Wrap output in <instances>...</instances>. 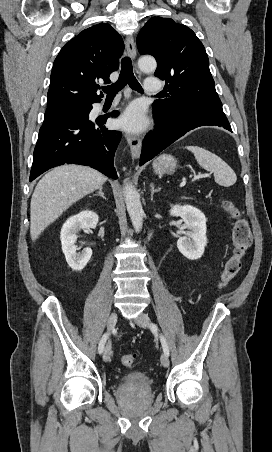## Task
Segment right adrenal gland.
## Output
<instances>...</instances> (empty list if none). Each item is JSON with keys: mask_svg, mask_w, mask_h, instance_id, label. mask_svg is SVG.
<instances>
[{"mask_svg": "<svg viewBox=\"0 0 272 452\" xmlns=\"http://www.w3.org/2000/svg\"><path fill=\"white\" fill-rule=\"evenodd\" d=\"M94 196H101L103 199L106 200V197H105V195L103 193V188L102 187L99 188L98 192L96 194H94Z\"/></svg>", "mask_w": 272, "mask_h": 452, "instance_id": "obj_1", "label": "right adrenal gland"}]
</instances>
